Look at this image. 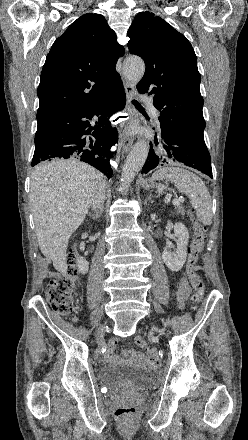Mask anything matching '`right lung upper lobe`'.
I'll list each match as a JSON object with an SVG mask.
<instances>
[{
  "label": "right lung upper lobe",
  "instance_id": "right-lung-upper-lobe-1",
  "mask_svg": "<svg viewBox=\"0 0 248 440\" xmlns=\"http://www.w3.org/2000/svg\"><path fill=\"white\" fill-rule=\"evenodd\" d=\"M123 53L102 15L88 13L74 21L46 57L37 90V121L104 97L120 79L115 65Z\"/></svg>",
  "mask_w": 248,
  "mask_h": 440
}]
</instances>
